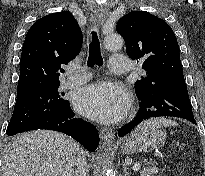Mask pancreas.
Returning <instances> with one entry per match:
<instances>
[{"label": "pancreas", "mask_w": 205, "mask_h": 176, "mask_svg": "<svg viewBox=\"0 0 205 176\" xmlns=\"http://www.w3.org/2000/svg\"><path fill=\"white\" fill-rule=\"evenodd\" d=\"M156 161L151 160L147 166H144L143 169L140 171L141 176H154L158 173L159 168L155 166Z\"/></svg>", "instance_id": "1"}]
</instances>
